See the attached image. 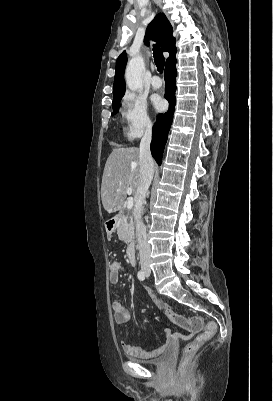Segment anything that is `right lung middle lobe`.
<instances>
[{"instance_id":"1","label":"right lung middle lobe","mask_w":273,"mask_h":401,"mask_svg":"<svg viewBox=\"0 0 273 401\" xmlns=\"http://www.w3.org/2000/svg\"><path fill=\"white\" fill-rule=\"evenodd\" d=\"M118 107H119V106H117V107H113V113H112V115H114L115 113H117V111H118Z\"/></svg>"}]
</instances>
